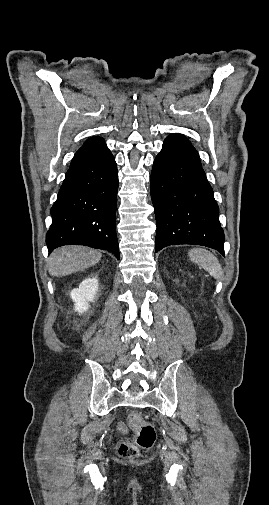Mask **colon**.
<instances>
[{"label":"colon","instance_id":"1","mask_svg":"<svg viewBox=\"0 0 269 505\" xmlns=\"http://www.w3.org/2000/svg\"><path fill=\"white\" fill-rule=\"evenodd\" d=\"M129 422L135 436L132 441H121L117 447L119 456L125 459L137 457L140 449L151 448L156 440V431L153 425L143 420L138 413H133L129 417Z\"/></svg>","mask_w":269,"mask_h":505}]
</instances>
